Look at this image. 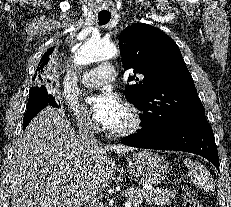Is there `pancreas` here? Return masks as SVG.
I'll list each match as a JSON object with an SVG mask.
<instances>
[{
    "label": "pancreas",
    "mask_w": 231,
    "mask_h": 207,
    "mask_svg": "<svg viewBox=\"0 0 231 207\" xmlns=\"http://www.w3.org/2000/svg\"><path fill=\"white\" fill-rule=\"evenodd\" d=\"M175 191L164 190L160 188L146 189L141 187H130L126 190L128 201L135 204L146 202L147 204L155 203L157 205H169L175 198Z\"/></svg>",
    "instance_id": "obj_1"
}]
</instances>
